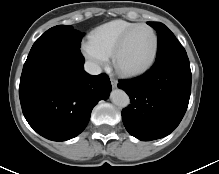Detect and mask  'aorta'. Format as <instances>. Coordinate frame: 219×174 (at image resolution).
<instances>
[{
	"mask_svg": "<svg viewBox=\"0 0 219 174\" xmlns=\"http://www.w3.org/2000/svg\"><path fill=\"white\" fill-rule=\"evenodd\" d=\"M110 99L118 107L125 108L130 104V98L127 93L121 89L112 90Z\"/></svg>",
	"mask_w": 219,
	"mask_h": 174,
	"instance_id": "762f6f07",
	"label": "aorta"
}]
</instances>
